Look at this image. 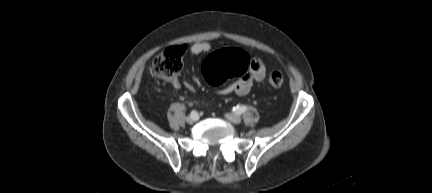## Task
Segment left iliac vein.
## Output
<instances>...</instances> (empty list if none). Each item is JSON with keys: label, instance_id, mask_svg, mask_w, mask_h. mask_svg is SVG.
Returning a JSON list of instances; mask_svg holds the SVG:
<instances>
[{"label": "left iliac vein", "instance_id": "obj_1", "mask_svg": "<svg viewBox=\"0 0 432 193\" xmlns=\"http://www.w3.org/2000/svg\"><path fill=\"white\" fill-rule=\"evenodd\" d=\"M226 118L235 124H239L241 122V117L237 114H226Z\"/></svg>", "mask_w": 432, "mask_h": 193}]
</instances>
